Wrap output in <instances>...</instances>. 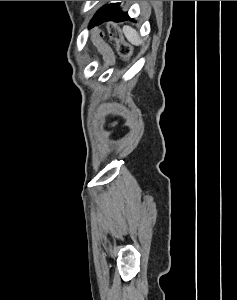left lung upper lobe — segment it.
<instances>
[{"label":"left lung upper lobe","instance_id":"5c2ea615","mask_svg":"<svg viewBox=\"0 0 237 300\" xmlns=\"http://www.w3.org/2000/svg\"><path fill=\"white\" fill-rule=\"evenodd\" d=\"M104 8H105V7H104ZM104 8H101V9L96 13V15L94 16V18L97 17V16L102 12V10H103ZM94 18H93V19H94ZM93 19H92V20H93Z\"/></svg>","mask_w":237,"mask_h":300}]
</instances>
